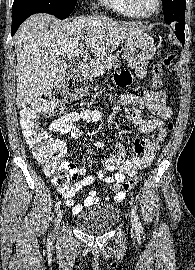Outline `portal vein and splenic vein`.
Returning <instances> with one entry per match:
<instances>
[{
	"instance_id": "1",
	"label": "portal vein and splenic vein",
	"mask_w": 195,
	"mask_h": 270,
	"mask_svg": "<svg viewBox=\"0 0 195 270\" xmlns=\"http://www.w3.org/2000/svg\"><path fill=\"white\" fill-rule=\"evenodd\" d=\"M64 52L67 55H74V56L81 55V56L85 57L87 55V51H85L83 49H81V50H71V49H69V50H65Z\"/></svg>"
}]
</instances>
